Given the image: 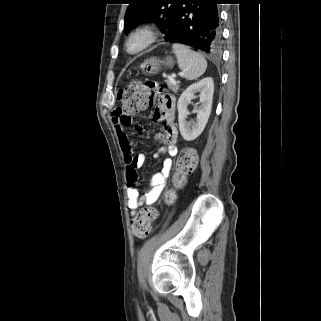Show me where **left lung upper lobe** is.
<instances>
[{
    "label": "left lung upper lobe",
    "mask_w": 321,
    "mask_h": 321,
    "mask_svg": "<svg viewBox=\"0 0 321 321\" xmlns=\"http://www.w3.org/2000/svg\"><path fill=\"white\" fill-rule=\"evenodd\" d=\"M180 0H129L125 13V34L136 26L154 22L165 33Z\"/></svg>",
    "instance_id": "5c2ea615"
}]
</instances>
